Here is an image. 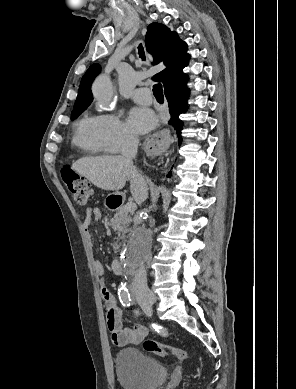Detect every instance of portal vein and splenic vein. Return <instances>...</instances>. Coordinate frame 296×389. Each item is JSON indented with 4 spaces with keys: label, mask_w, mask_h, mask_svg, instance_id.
<instances>
[{
    "label": "portal vein and splenic vein",
    "mask_w": 296,
    "mask_h": 389,
    "mask_svg": "<svg viewBox=\"0 0 296 389\" xmlns=\"http://www.w3.org/2000/svg\"><path fill=\"white\" fill-rule=\"evenodd\" d=\"M136 209V204L133 203V202H128L126 205H125V210L128 211V212H132Z\"/></svg>",
    "instance_id": "1"
}]
</instances>
